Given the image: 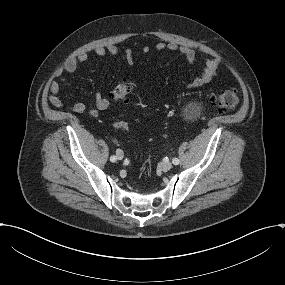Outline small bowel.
Instances as JSON below:
<instances>
[{
  "mask_svg": "<svg viewBox=\"0 0 285 285\" xmlns=\"http://www.w3.org/2000/svg\"><path fill=\"white\" fill-rule=\"evenodd\" d=\"M156 51L167 50L172 53H178L183 56L188 63L195 64L197 61V55L194 49L188 46H179L176 43H164L160 42L155 46ZM94 53L100 57L110 55L115 57L119 54L120 50L115 44H109L107 46H98L94 48ZM149 47H144L142 53L148 54ZM124 56L129 65L133 64L134 55L130 48L124 50ZM88 60V54L81 52L75 56L69 57L55 72L53 80L49 85L50 94L48 96L49 102L55 107H65V102L60 97V82L66 80V76L75 72L79 65L84 64ZM220 60L218 58H206L202 61V72L194 79L188 81L186 86L188 88H197L211 82L219 69ZM110 99L98 93L95 96V108L87 109L83 102H75L67 108L75 113L88 112L91 116L97 117L101 110H105L110 106Z\"/></svg>",
  "mask_w": 285,
  "mask_h": 285,
  "instance_id": "c3829d8e",
  "label": "small bowel"
}]
</instances>
